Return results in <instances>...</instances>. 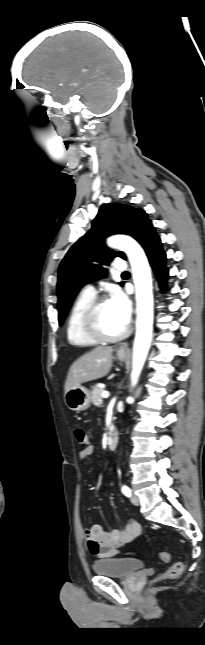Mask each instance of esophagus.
Wrapping results in <instances>:
<instances>
[{"label": "esophagus", "mask_w": 205, "mask_h": 645, "mask_svg": "<svg viewBox=\"0 0 205 645\" xmlns=\"http://www.w3.org/2000/svg\"><path fill=\"white\" fill-rule=\"evenodd\" d=\"M127 350H128V343H123V344L120 346V348H119L118 352H119V353H125V352H127Z\"/></svg>", "instance_id": "34e87169"}]
</instances>
